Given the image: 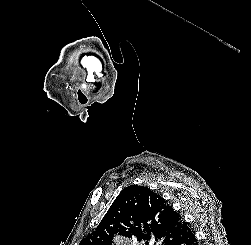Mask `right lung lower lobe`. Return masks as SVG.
<instances>
[{
    "label": "right lung lower lobe",
    "instance_id": "obj_1",
    "mask_svg": "<svg viewBox=\"0 0 251 245\" xmlns=\"http://www.w3.org/2000/svg\"><path fill=\"white\" fill-rule=\"evenodd\" d=\"M165 245H197V240L190 227L180 236L167 242Z\"/></svg>",
    "mask_w": 251,
    "mask_h": 245
}]
</instances>
